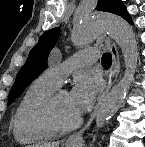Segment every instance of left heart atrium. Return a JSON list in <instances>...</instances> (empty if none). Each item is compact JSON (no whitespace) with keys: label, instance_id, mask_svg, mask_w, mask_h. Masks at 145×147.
I'll return each instance as SVG.
<instances>
[{"label":"left heart atrium","instance_id":"obj_1","mask_svg":"<svg viewBox=\"0 0 145 147\" xmlns=\"http://www.w3.org/2000/svg\"><path fill=\"white\" fill-rule=\"evenodd\" d=\"M98 91L97 84L88 76L77 77L70 92L71 104L74 112L79 116L92 105Z\"/></svg>","mask_w":145,"mask_h":147}]
</instances>
